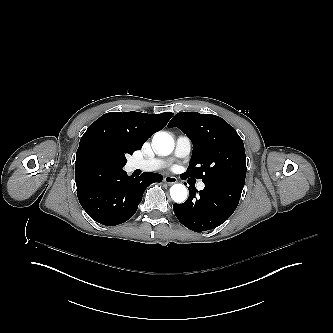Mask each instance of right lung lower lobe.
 Wrapping results in <instances>:
<instances>
[{
	"instance_id": "right-lung-lower-lobe-1",
	"label": "right lung lower lobe",
	"mask_w": 333,
	"mask_h": 333,
	"mask_svg": "<svg viewBox=\"0 0 333 333\" xmlns=\"http://www.w3.org/2000/svg\"><path fill=\"white\" fill-rule=\"evenodd\" d=\"M160 174L145 172L128 176L122 168H109L93 160L75 162V181L79 202L96 222L115 226L131 218L147 186L161 182Z\"/></svg>"
}]
</instances>
